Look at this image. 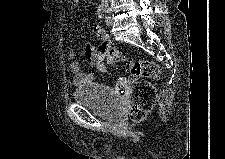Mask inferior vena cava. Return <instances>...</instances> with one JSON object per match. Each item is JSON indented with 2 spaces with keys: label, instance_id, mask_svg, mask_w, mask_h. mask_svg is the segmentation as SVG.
Listing matches in <instances>:
<instances>
[{
  "label": "inferior vena cava",
  "instance_id": "1",
  "mask_svg": "<svg viewBox=\"0 0 225 159\" xmlns=\"http://www.w3.org/2000/svg\"><path fill=\"white\" fill-rule=\"evenodd\" d=\"M108 2H109L108 0H103L102 4L105 5V6H108Z\"/></svg>",
  "mask_w": 225,
  "mask_h": 159
}]
</instances>
